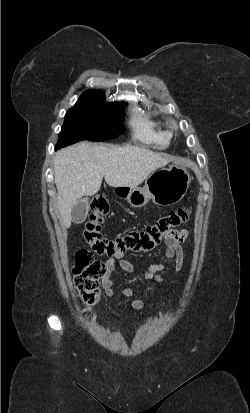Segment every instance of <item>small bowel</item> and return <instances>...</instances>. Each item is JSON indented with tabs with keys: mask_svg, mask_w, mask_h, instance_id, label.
<instances>
[{
	"mask_svg": "<svg viewBox=\"0 0 250 413\" xmlns=\"http://www.w3.org/2000/svg\"><path fill=\"white\" fill-rule=\"evenodd\" d=\"M165 236V253L164 257L167 261L174 260L175 271L181 270L184 262V251L183 243L188 237V231L177 230V229H166L164 231ZM124 254L119 253L114 256L109 257L103 264L105 266V273L101 277V284L104 289V293L108 297L112 298H127L131 299V306L134 309L140 310L145 307V301L142 299H132L133 290L130 288H124L121 290H116L113 285V280L111 274L114 271L116 265L118 264L120 268L128 273H134V266L124 259ZM166 265L163 263L151 264L147 270L142 273V277L145 280H154L157 282H163L164 278L159 275L160 272L164 271ZM89 319H92L93 314H89Z\"/></svg>",
	"mask_w": 250,
	"mask_h": 413,
	"instance_id": "c3829d8e",
	"label": "small bowel"
}]
</instances>
